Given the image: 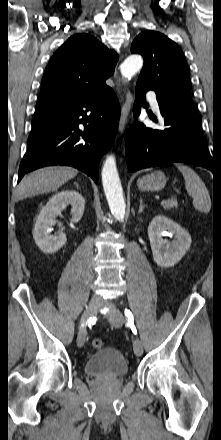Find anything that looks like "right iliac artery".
<instances>
[{
	"mask_svg": "<svg viewBox=\"0 0 221 440\" xmlns=\"http://www.w3.org/2000/svg\"><path fill=\"white\" fill-rule=\"evenodd\" d=\"M95 320H96V318H89L88 323H89V324H90V323H94Z\"/></svg>",
	"mask_w": 221,
	"mask_h": 440,
	"instance_id": "1",
	"label": "right iliac artery"
}]
</instances>
